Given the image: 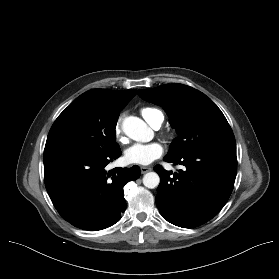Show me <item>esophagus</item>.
Segmentation results:
<instances>
[{"label":"esophagus","instance_id":"obj_1","mask_svg":"<svg viewBox=\"0 0 279 279\" xmlns=\"http://www.w3.org/2000/svg\"><path fill=\"white\" fill-rule=\"evenodd\" d=\"M140 170H141L142 174H145V173L151 171L152 168L151 167H146V166H141Z\"/></svg>","mask_w":279,"mask_h":279}]
</instances>
